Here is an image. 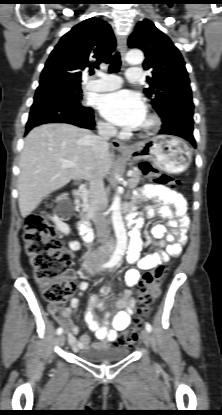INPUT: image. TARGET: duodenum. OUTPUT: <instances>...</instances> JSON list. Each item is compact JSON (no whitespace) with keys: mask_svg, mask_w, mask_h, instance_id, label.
Segmentation results:
<instances>
[{"mask_svg":"<svg viewBox=\"0 0 222 415\" xmlns=\"http://www.w3.org/2000/svg\"><path fill=\"white\" fill-rule=\"evenodd\" d=\"M78 192L80 193L81 197H85V189L83 186L77 187ZM129 222L132 223L133 219L130 218ZM78 229L82 235V237L86 241H91L93 238V232L90 225V214L88 212V208L83 204L80 210V221L78 223Z\"/></svg>","mask_w":222,"mask_h":415,"instance_id":"obj_1","label":"duodenum"}]
</instances>
